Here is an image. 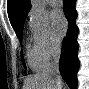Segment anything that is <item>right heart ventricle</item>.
Segmentation results:
<instances>
[{
    "instance_id": "1",
    "label": "right heart ventricle",
    "mask_w": 89,
    "mask_h": 89,
    "mask_svg": "<svg viewBox=\"0 0 89 89\" xmlns=\"http://www.w3.org/2000/svg\"><path fill=\"white\" fill-rule=\"evenodd\" d=\"M27 58L28 63L33 70L42 71L48 66V62H46L39 56L35 47L28 46Z\"/></svg>"
}]
</instances>
